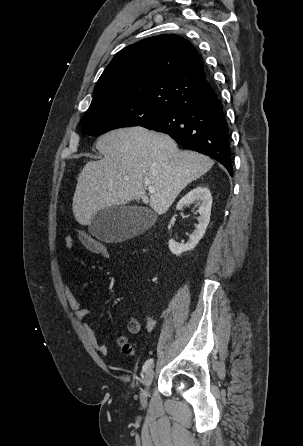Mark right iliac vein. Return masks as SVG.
Segmentation results:
<instances>
[{"label": "right iliac vein", "mask_w": 303, "mask_h": 446, "mask_svg": "<svg viewBox=\"0 0 303 446\" xmlns=\"http://www.w3.org/2000/svg\"><path fill=\"white\" fill-rule=\"evenodd\" d=\"M153 378H154V370H153V367H150L145 372L144 380H143V384H144V387H145L144 390L141 393V401L143 403L146 402L147 391H148V388L150 387V385H151V383L153 381Z\"/></svg>", "instance_id": "63e3f726"}]
</instances>
